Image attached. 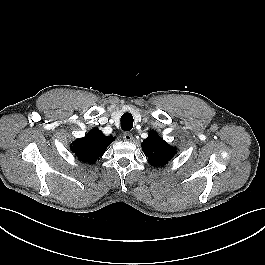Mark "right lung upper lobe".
Listing matches in <instances>:
<instances>
[{
  "label": "right lung upper lobe",
  "instance_id": "1",
  "mask_svg": "<svg viewBox=\"0 0 265 265\" xmlns=\"http://www.w3.org/2000/svg\"><path fill=\"white\" fill-rule=\"evenodd\" d=\"M113 141V137L105 136L102 131L94 128L85 137L76 139L70 148L80 161L95 163Z\"/></svg>",
  "mask_w": 265,
  "mask_h": 265
}]
</instances>
